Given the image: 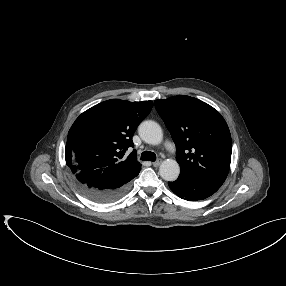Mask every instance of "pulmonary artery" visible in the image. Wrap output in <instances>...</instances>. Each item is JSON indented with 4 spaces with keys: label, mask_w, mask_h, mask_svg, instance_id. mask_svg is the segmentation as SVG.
<instances>
[{
    "label": "pulmonary artery",
    "mask_w": 286,
    "mask_h": 286,
    "mask_svg": "<svg viewBox=\"0 0 286 286\" xmlns=\"http://www.w3.org/2000/svg\"><path fill=\"white\" fill-rule=\"evenodd\" d=\"M165 148H166L172 155H175V154H176V148H175V146H174L171 142H169V141L165 142Z\"/></svg>",
    "instance_id": "1"
}]
</instances>
